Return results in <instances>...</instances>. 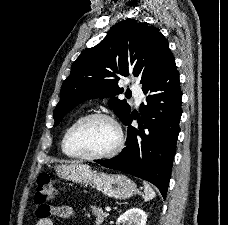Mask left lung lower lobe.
Listing matches in <instances>:
<instances>
[{
    "instance_id": "0a47b994",
    "label": "left lung lower lobe",
    "mask_w": 228,
    "mask_h": 225,
    "mask_svg": "<svg viewBox=\"0 0 228 225\" xmlns=\"http://www.w3.org/2000/svg\"><path fill=\"white\" fill-rule=\"evenodd\" d=\"M142 90L147 96L140 106L139 128L129 127L126 147L118 156L95 162L151 182L165 199L182 114L179 73L173 55ZM132 120L133 113L123 123L130 125Z\"/></svg>"
}]
</instances>
